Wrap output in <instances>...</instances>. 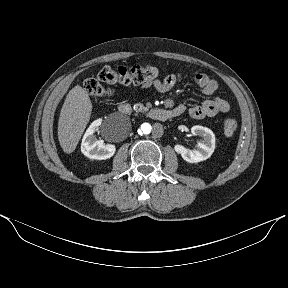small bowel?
<instances>
[{
	"instance_id": "obj_1",
	"label": "small bowel",
	"mask_w": 288,
	"mask_h": 288,
	"mask_svg": "<svg viewBox=\"0 0 288 288\" xmlns=\"http://www.w3.org/2000/svg\"><path fill=\"white\" fill-rule=\"evenodd\" d=\"M194 82L201 89L202 93L210 98L204 100L201 104L187 108L180 104L175 109L181 110V114L188 111L194 119H203L213 117L220 113H226L230 110V104L219 97H215L218 85L217 82L204 73H196ZM181 80L180 74H169L164 79H155L139 85V89L155 88L159 92H169Z\"/></svg>"
}]
</instances>
